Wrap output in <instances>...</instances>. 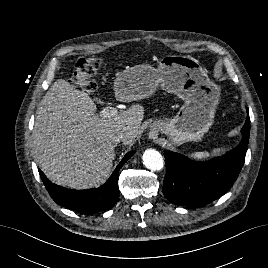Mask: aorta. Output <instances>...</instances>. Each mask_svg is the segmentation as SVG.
I'll return each instance as SVG.
<instances>
[{
    "instance_id": "obj_1",
    "label": "aorta",
    "mask_w": 268,
    "mask_h": 268,
    "mask_svg": "<svg viewBox=\"0 0 268 268\" xmlns=\"http://www.w3.org/2000/svg\"><path fill=\"white\" fill-rule=\"evenodd\" d=\"M143 164L152 171H159L163 168L164 161L160 152L155 149H147L142 155Z\"/></svg>"
}]
</instances>
